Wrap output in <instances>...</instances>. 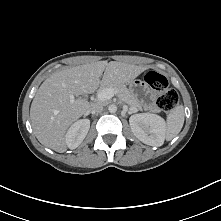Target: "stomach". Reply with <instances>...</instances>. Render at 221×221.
Instances as JSON below:
<instances>
[{
  "label": "stomach",
  "instance_id": "1",
  "mask_svg": "<svg viewBox=\"0 0 221 221\" xmlns=\"http://www.w3.org/2000/svg\"><path fill=\"white\" fill-rule=\"evenodd\" d=\"M148 86L145 81L140 79H134L129 82V91L133 96L139 101L140 105L144 104L146 101Z\"/></svg>",
  "mask_w": 221,
  "mask_h": 221
}]
</instances>
